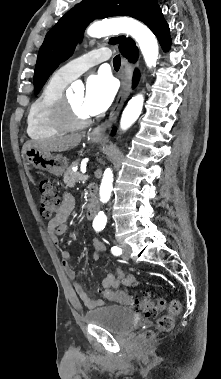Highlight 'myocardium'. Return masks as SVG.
Here are the masks:
<instances>
[{"label": "myocardium", "mask_w": 221, "mask_h": 379, "mask_svg": "<svg viewBox=\"0 0 221 379\" xmlns=\"http://www.w3.org/2000/svg\"><path fill=\"white\" fill-rule=\"evenodd\" d=\"M55 118L67 130L82 128L90 123V117L79 115L65 95L56 107Z\"/></svg>", "instance_id": "1"}]
</instances>
